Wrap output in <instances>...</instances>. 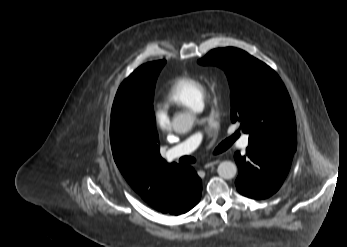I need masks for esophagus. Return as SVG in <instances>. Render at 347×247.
<instances>
[{
    "label": "esophagus",
    "instance_id": "obj_1",
    "mask_svg": "<svg viewBox=\"0 0 347 247\" xmlns=\"http://www.w3.org/2000/svg\"><path fill=\"white\" fill-rule=\"evenodd\" d=\"M219 160L218 159H216V160H211V161H208V162H206L205 163V165H204V168H210L211 166H213V165H217V164H219Z\"/></svg>",
    "mask_w": 347,
    "mask_h": 247
}]
</instances>
